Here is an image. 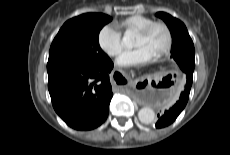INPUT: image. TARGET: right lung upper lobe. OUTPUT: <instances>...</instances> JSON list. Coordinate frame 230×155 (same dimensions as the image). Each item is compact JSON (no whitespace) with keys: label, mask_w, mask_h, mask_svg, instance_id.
<instances>
[{"label":"right lung upper lobe","mask_w":230,"mask_h":155,"mask_svg":"<svg viewBox=\"0 0 230 155\" xmlns=\"http://www.w3.org/2000/svg\"><path fill=\"white\" fill-rule=\"evenodd\" d=\"M92 14H93V13L83 14V15H80V16H78V17L72 18V19H70V20H78V19L87 17V16L92 15Z\"/></svg>","instance_id":"1"}]
</instances>
